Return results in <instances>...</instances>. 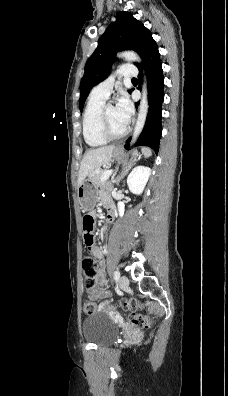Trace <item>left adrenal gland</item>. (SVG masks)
Listing matches in <instances>:
<instances>
[{
	"label": "left adrenal gland",
	"mask_w": 228,
	"mask_h": 396,
	"mask_svg": "<svg viewBox=\"0 0 228 396\" xmlns=\"http://www.w3.org/2000/svg\"><path fill=\"white\" fill-rule=\"evenodd\" d=\"M139 159H140V157L134 158V160H132V161L130 162V164H128V166L125 167V169L123 170V172H122L119 176H117V177L113 176V178H112L113 181H114L117 185H119L120 180L124 177L125 174H127L128 170H129L132 166H134V165L136 164V162H137Z\"/></svg>",
	"instance_id": "1"
}]
</instances>
